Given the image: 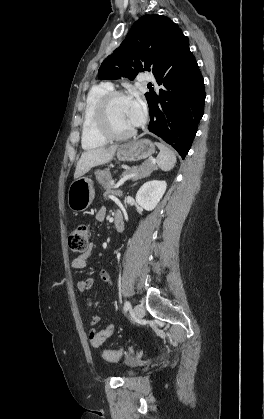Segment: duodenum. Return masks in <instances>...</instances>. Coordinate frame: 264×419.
Returning a JSON list of instances; mask_svg holds the SVG:
<instances>
[{
  "instance_id": "duodenum-1",
  "label": "duodenum",
  "mask_w": 264,
  "mask_h": 419,
  "mask_svg": "<svg viewBox=\"0 0 264 419\" xmlns=\"http://www.w3.org/2000/svg\"><path fill=\"white\" fill-rule=\"evenodd\" d=\"M115 228L118 232L123 231L124 229V220L121 213H117L114 219Z\"/></svg>"
}]
</instances>
